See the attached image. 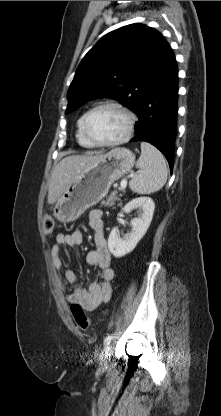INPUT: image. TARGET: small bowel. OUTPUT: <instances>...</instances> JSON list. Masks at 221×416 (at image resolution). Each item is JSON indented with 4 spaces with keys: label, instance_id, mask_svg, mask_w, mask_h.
Returning <instances> with one entry per match:
<instances>
[{
    "label": "small bowel",
    "instance_id": "c3829d8e",
    "mask_svg": "<svg viewBox=\"0 0 221 416\" xmlns=\"http://www.w3.org/2000/svg\"><path fill=\"white\" fill-rule=\"evenodd\" d=\"M102 217V211L97 209L89 213V225L93 230L95 248L86 255V262L100 270L99 281L94 280L87 287H83L79 282L77 274L72 270L65 269L63 266L61 246L81 245L84 241L81 231L75 230L69 234L59 233L56 237V244L50 251L58 287L65 291L66 284H72L74 289L66 295V299L71 304H80L86 312H91L99 305L108 303L112 297L111 282L115 273L104 236Z\"/></svg>",
    "mask_w": 221,
    "mask_h": 416
}]
</instances>
